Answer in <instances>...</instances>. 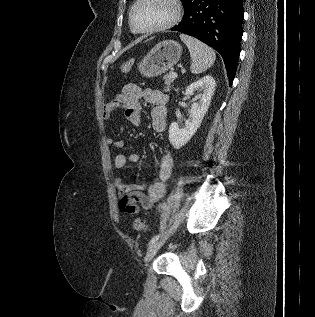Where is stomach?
Segmentation results:
<instances>
[{"mask_svg": "<svg viewBox=\"0 0 315 317\" xmlns=\"http://www.w3.org/2000/svg\"><path fill=\"white\" fill-rule=\"evenodd\" d=\"M181 45L173 40H164L155 45L140 61L138 70L144 77H155L171 69L180 59Z\"/></svg>", "mask_w": 315, "mask_h": 317, "instance_id": "obj_1", "label": "stomach"}]
</instances>
